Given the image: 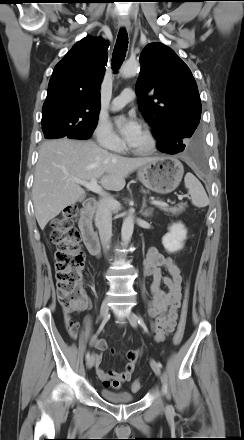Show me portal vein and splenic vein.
Wrapping results in <instances>:
<instances>
[{
    "instance_id": "obj_1",
    "label": "portal vein and splenic vein",
    "mask_w": 244,
    "mask_h": 440,
    "mask_svg": "<svg viewBox=\"0 0 244 440\" xmlns=\"http://www.w3.org/2000/svg\"><path fill=\"white\" fill-rule=\"evenodd\" d=\"M74 181L82 186H84L85 188H87L88 190L97 193L99 195H103L104 191L102 189V187H100L97 184V180L96 179H92L90 182L88 181H84V180H80V179H74ZM184 198V195H178V199L182 200ZM152 204L154 205H162V206H168L167 203L163 202V201H157V200H152L151 201Z\"/></svg>"
}]
</instances>
